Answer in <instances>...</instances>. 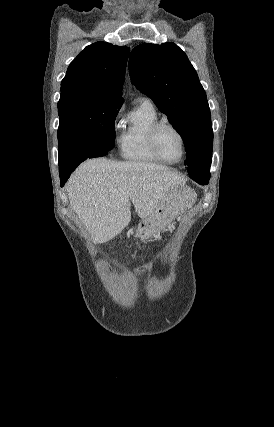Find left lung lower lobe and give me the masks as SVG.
Returning a JSON list of instances; mask_svg holds the SVG:
<instances>
[{
  "mask_svg": "<svg viewBox=\"0 0 274 427\" xmlns=\"http://www.w3.org/2000/svg\"><path fill=\"white\" fill-rule=\"evenodd\" d=\"M189 175L194 181H196L201 185H207L210 178L209 175H196V174H189Z\"/></svg>",
  "mask_w": 274,
  "mask_h": 427,
  "instance_id": "left-lung-lower-lobe-1",
  "label": "left lung lower lobe"
}]
</instances>
